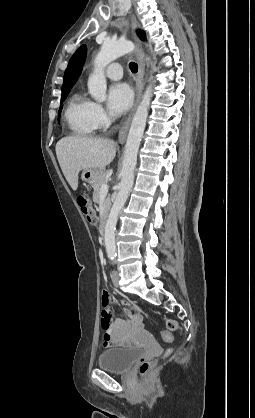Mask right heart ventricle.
<instances>
[{"label":"right heart ventricle","mask_w":255,"mask_h":418,"mask_svg":"<svg viewBox=\"0 0 255 418\" xmlns=\"http://www.w3.org/2000/svg\"><path fill=\"white\" fill-rule=\"evenodd\" d=\"M92 107L93 102L81 91L77 90L72 93L66 106L65 119L73 134L87 136L95 131Z\"/></svg>","instance_id":"e07e8e85"}]
</instances>
